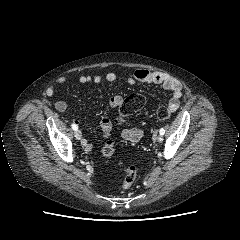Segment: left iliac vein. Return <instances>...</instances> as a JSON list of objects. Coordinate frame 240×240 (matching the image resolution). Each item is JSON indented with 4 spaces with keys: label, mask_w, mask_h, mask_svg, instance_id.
Returning <instances> with one entry per match:
<instances>
[{
    "label": "left iliac vein",
    "mask_w": 240,
    "mask_h": 240,
    "mask_svg": "<svg viewBox=\"0 0 240 240\" xmlns=\"http://www.w3.org/2000/svg\"><path fill=\"white\" fill-rule=\"evenodd\" d=\"M156 139H157L158 142H162L163 141V136L162 135H158L156 137Z\"/></svg>",
    "instance_id": "4c4485c4"
}]
</instances>
